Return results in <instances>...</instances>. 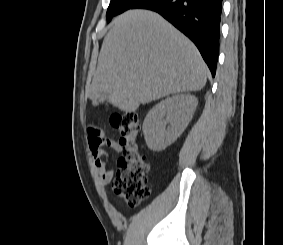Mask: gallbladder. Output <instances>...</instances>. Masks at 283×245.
<instances>
[{
	"instance_id": "1",
	"label": "gallbladder",
	"mask_w": 283,
	"mask_h": 245,
	"mask_svg": "<svg viewBox=\"0 0 283 245\" xmlns=\"http://www.w3.org/2000/svg\"><path fill=\"white\" fill-rule=\"evenodd\" d=\"M101 96H104V93H101Z\"/></svg>"
}]
</instances>
